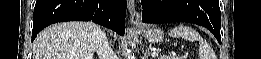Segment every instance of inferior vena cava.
Returning <instances> with one entry per match:
<instances>
[{
  "label": "inferior vena cava",
  "mask_w": 261,
  "mask_h": 59,
  "mask_svg": "<svg viewBox=\"0 0 261 59\" xmlns=\"http://www.w3.org/2000/svg\"><path fill=\"white\" fill-rule=\"evenodd\" d=\"M96 52L99 59H117L115 53L111 49L105 32H103L98 26L93 32Z\"/></svg>",
  "instance_id": "obj_1"
}]
</instances>
